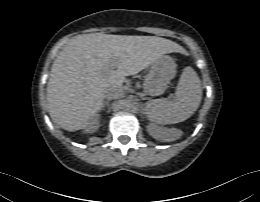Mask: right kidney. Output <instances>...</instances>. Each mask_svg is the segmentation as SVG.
<instances>
[{
	"mask_svg": "<svg viewBox=\"0 0 260 202\" xmlns=\"http://www.w3.org/2000/svg\"><path fill=\"white\" fill-rule=\"evenodd\" d=\"M99 127V118L97 115L90 119L88 125L85 127V132H94Z\"/></svg>",
	"mask_w": 260,
	"mask_h": 202,
	"instance_id": "ca27d5eb",
	"label": "right kidney"
}]
</instances>
